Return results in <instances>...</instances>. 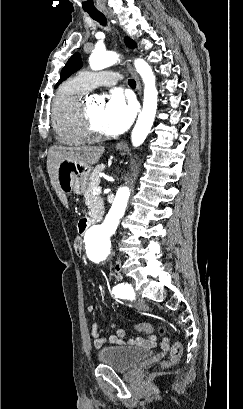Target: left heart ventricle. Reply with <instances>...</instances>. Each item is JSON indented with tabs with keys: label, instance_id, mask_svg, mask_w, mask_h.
Segmentation results:
<instances>
[{
	"label": "left heart ventricle",
	"instance_id": "b2bd125f",
	"mask_svg": "<svg viewBox=\"0 0 243 409\" xmlns=\"http://www.w3.org/2000/svg\"><path fill=\"white\" fill-rule=\"evenodd\" d=\"M103 108H104V104L101 102L91 103L87 105V110L91 118V121L94 127L100 132H102L100 118H101V113H102Z\"/></svg>",
	"mask_w": 243,
	"mask_h": 409
}]
</instances>
